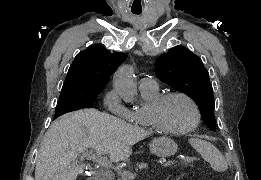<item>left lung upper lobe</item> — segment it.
Instances as JSON below:
<instances>
[{"mask_svg":"<svg viewBox=\"0 0 261 180\" xmlns=\"http://www.w3.org/2000/svg\"><path fill=\"white\" fill-rule=\"evenodd\" d=\"M155 73L162 82L192 98L207 127L215 131L213 89L198 56L182 46L173 47L156 61Z\"/></svg>","mask_w":261,"mask_h":180,"instance_id":"obj_1","label":"left lung upper lobe"}]
</instances>
